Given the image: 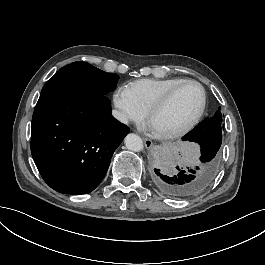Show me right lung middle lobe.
<instances>
[{
    "instance_id": "obj_1",
    "label": "right lung middle lobe",
    "mask_w": 265,
    "mask_h": 265,
    "mask_svg": "<svg viewBox=\"0 0 265 265\" xmlns=\"http://www.w3.org/2000/svg\"><path fill=\"white\" fill-rule=\"evenodd\" d=\"M118 79L114 73L78 61L61 68L48 80L42 92L106 95L116 87Z\"/></svg>"
}]
</instances>
